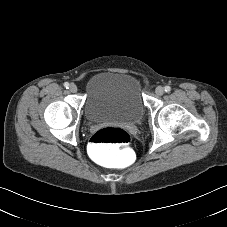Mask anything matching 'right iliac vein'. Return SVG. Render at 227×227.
I'll return each instance as SVG.
<instances>
[{
    "label": "right iliac vein",
    "instance_id": "right-iliac-vein-1",
    "mask_svg": "<svg viewBox=\"0 0 227 227\" xmlns=\"http://www.w3.org/2000/svg\"><path fill=\"white\" fill-rule=\"evenodd\" d=\"M69 90H70V92H72V93H76V92H77V86H76L74 83H72V84H70V86H69Z\"/></svg>",
    "mask_w": 227,
    "mask_h": 227
}]
</instances>
